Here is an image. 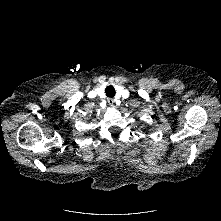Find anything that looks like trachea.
I'll list each match as a JSON object with an SVG mask.
<instances>
[{"mask_svg": "<svg viewBox=\"0 0 221 221\" xmlns=\"http://www.w3.org/2000/svg\"><path fill=\"white\" fill-rule=\"evenodd\" d=\"M107 97H114L115 96V88L113 86H108L105 90Z\"/></svg>", "mask_w": 221, "mask_h": 221, "instance_id": "1", "label": "trachea"}]
</instances>
